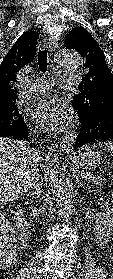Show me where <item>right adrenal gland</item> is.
Instances as JSON below:
<instances>
[{"instance_id":"2a0ac1e0","label":"right adrenal gland","mask_w":113,"mask_h":279,"mask_svg":"<svg viewBox=\"0 0 113 279\" xmlns=\"http://www.w3.org/2000/svg\"><path fill=\"white\" fill-rule=\"evenodd\" d=\"M37 176V183L36 184H32L33 185V189H34V192L31 194V196L34 198H37L40 193H41V183L39 181V176H38V173L36 174Z\"/></svg>"}]
</instances>
